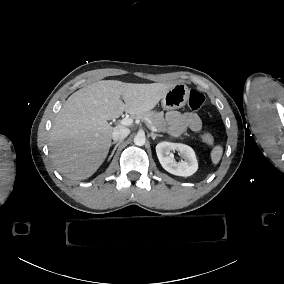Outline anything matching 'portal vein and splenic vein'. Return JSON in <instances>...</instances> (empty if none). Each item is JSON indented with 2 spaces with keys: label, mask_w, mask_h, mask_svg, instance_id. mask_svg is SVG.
<instances>
[{
  "label": "portal vein and splenic vein",
  "mask_w": 284,
  "mask_h": 284,
  "mask_svg": "<svg viewBox=\"0 0 284 284\" xmlns=\"http://www.w3.org/2000/svg\"><path fill=\"white\" fill-rule=\"evenodd\" d=\"M132 123H133V119H131V118L125 117L121 120V124L124 125V126H129ZM151 130L154 131V132L157 131V129L155 127H151Z\"/></svg>",
  "instance_id": "obj_1"
}]
</instances>
